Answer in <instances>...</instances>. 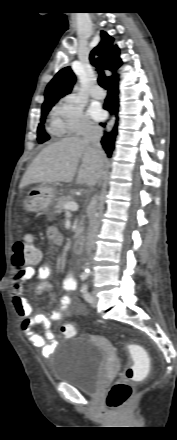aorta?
<instances>
[{
	"label": "aorta",
	"instance_id": "aorta-1",
	"mask_svg": "<svg viewBox=\"0 0 177 440\" xmlns=\"http://www.w3.org/2000/svg\"><path fill=\"white\" fill-rule=\"evenodd\" d=\"M85 272H86V273H88V272H89V269H88L87 267L85 268Z\"/></svg>",
	"mask_w": 177,
	"mask_h": 440
}]
</instances>
